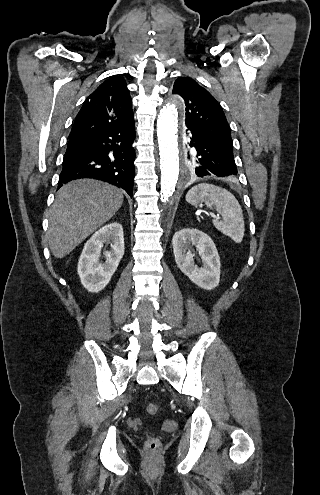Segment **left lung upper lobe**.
<instances>
[{"instance_id":"5c2ea615","label":"left lung upper lobe","mask_w":320,"mask_h":495,"mask_svg":"<svg viewBox=\"0 0 320 495\" xmlns=\"http://www.w3.org/2000/svg\"><path fill=\"white\" fill-rule=\"evenodd\" d=\"M173 94L185 101V124L215 141L225 149L233 151L231 131L225 114L216 99L190 77H179L173 87ZM199 153L188 152L186 169L189 176L196 175Z\"/></svg>"}]
</instances>
